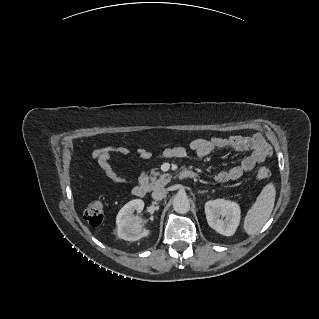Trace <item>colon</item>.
I'll list each match as a JSON object with an SVG mask.
<instances>
[{"label":"colon","mask_w":319,"mask_h":319,"mask_svg":"<svg viewBox=\"0 0 319 319\" xmlns=\"http://www.w3.org/2000/svg\"><path fill=\"white\" fill-rule=\"evenodd\" d=\"M260 179H268L271 176L267 168H260L257 172ZM84 215L88 223L92 226H98L104 218V207L101 201L95 200L88 204L84 211Z\"/></svg>","instance_id":"colon-1"}]
</instances>
